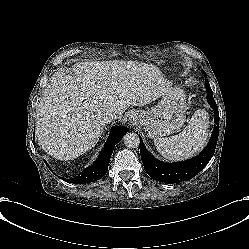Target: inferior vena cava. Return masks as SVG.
I'll return each instance as SVG.
<instances>
[{"instance_id":"obj_1","label":"inferior vena cava","mask_w":249,"mask_h":249,"mask_svg":"<svg viewBox=\"0 0 249 249\" xmlns=\"http://www.w3.org/2000/svg\"><path fill=\"white\" fill-rule=\"evenodd\" d=\"M119 117L120 116L118 115L117 111H110L108 113V116L104 119V122H105V124H108Z\"/></svg>"}]
</instances>
